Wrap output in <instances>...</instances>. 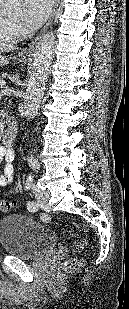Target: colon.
<instances>
[{
	"label": "colon",
	"instance_id": "5ec220e1",
	"mask_svg": "<svg viewBox=\"0 0 129 309\" xmlns=\"http://www.w3.org/2000/svg\"><path fill=\"white\" fill-rule=\"evenodd\" d=\"M15 206L14 202H10L4 199H0V211L1 212H8ZM86 244L84 240L80 241L79 246L82 247ZM82 265V262L78 258H72L67 260L64 263V270L65 271H75L79 269Z\"/></svg>",
	"mask_w": 129,
	"mask_h": 309
}]
</instances>
